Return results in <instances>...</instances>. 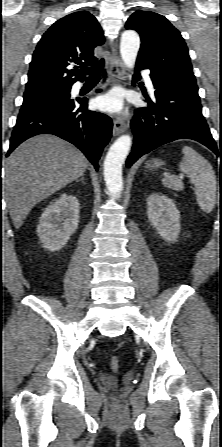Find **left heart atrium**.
<instances>
[{
	"label": "left heart atrium",
	"instance_id": "39dd6f15",
	"mask_svg": "<svg viewBox=\"0 0 222 447\" xmlns=\"http://www.w3.org/2000/svg\"><path fill=\"white\" fill-rule=\"evenodd\" d=\"M96 106L104 112L120 113L124 108L122 95L117 90H112L96 99Z\"/></svg>",
	"mask_w": 222,
	"mask_h": 447
}]
</instances>
